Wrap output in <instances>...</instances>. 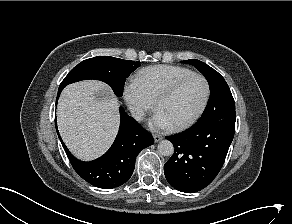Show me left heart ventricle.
Instances as JSON below:
<instances>
[{
	"label": "left heart ventricle",
	"mask_w": 292,
	"mask_h": 224,
	"mask_svg": "<svg viewBox=\"0 0 292 224\" xmlns=\"http://www.w3.org/2000/svg\"><path fill=\"white\" fill-rule=\"evenodd\" d=\"M205 95L202 80L192 79L187 82L172 97L164 100L158 106L172 126L189 120L200 108Z\"/></svg>",
	"instance_id": "b2bd125f"
}]
</instances>
